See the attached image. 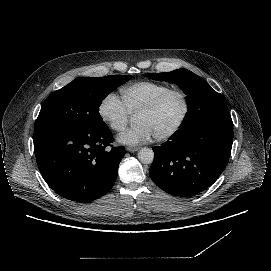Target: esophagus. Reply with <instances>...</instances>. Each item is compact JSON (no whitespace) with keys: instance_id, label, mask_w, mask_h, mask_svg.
Wrapping results in <instances>:
<instances>
[{"instance_id":"esophagus-1","label":"esophagus","mask_w":271,"mask_h":271,"mask_svg":"<svg viewBox=\"0 0 271 271\" xmlns=\"http://www.w3.org/2000/svg\"><path fill=\"white\" fill-rule=\"evenodd\" d=\"M126 150L129 152H136L139 150V147L127 146Z\"/></svg>"}]
</instances>
